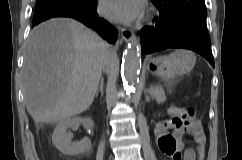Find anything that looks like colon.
Instances as JSON below:
<instances>
[{"mask_svg": "<svg viewBox=\"0 0 242 160\" xmlns=\"http://www.w3.org/2000/svg\"><path fill=\"white\" fill-rule=\"evenodd\" d=\"M185 112H188V113H191L192 115L193 112L191 110H187L185 108H182V107H178V108H175L174 111H173V114H174V118L172 121H176V118L181 114V113H185Z\"/></svg>", "mask_w": 242, "mask_h": 160, "instance_id": "5ec220e1", "label": "colon"}]
</instances>
